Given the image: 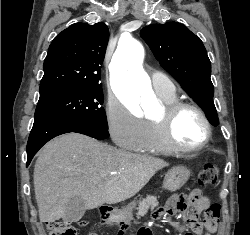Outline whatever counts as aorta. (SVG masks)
<instances>
[{
	"label": "aorta",
	"mask_w": 250,
	"mask_h": 235,
	"mask_svg": "<svg viewBox=\"0 0 250 235\" xmlns=\"http://www.w3.org/2000/svg\"><path fill=\"white\" fill-rule=\"evenodd\" d=\"M144 48L137 40L122 43L110 64V79L116 96L128 108L153 102L151 81L142 67Z\"/></svg>",
	"instance_id": "1"
}]
</instances>
